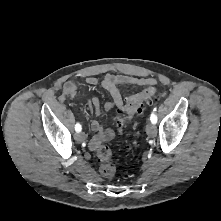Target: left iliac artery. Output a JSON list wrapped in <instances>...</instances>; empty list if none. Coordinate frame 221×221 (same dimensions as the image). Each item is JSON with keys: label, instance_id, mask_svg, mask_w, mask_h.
I'll return each instance as SVG.
<instances>
[{"label": "left iliac artery", "instance_id": "left-iliac-artery-1", "mask_svg": "<svg viewBox=\"0 0 221 221\" xmlns=\"http://www.w3.org/2000/svg\"><path fill=\"white\" fill-rule=\"evenodd\" d=\"M153 111H156V108H154ZM150 121L152 122V124H156L157 123V115L155 114V112L151 113Z\"/></svg>", "mask_w": 221, "mask_h": 221}]
</instances>
